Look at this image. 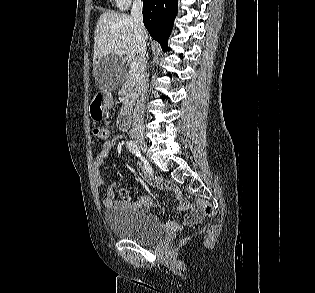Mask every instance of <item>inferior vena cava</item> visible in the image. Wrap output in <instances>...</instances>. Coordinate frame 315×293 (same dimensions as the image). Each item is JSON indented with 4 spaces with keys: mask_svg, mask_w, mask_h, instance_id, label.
<instances>
[{
    "mask_svg": "<svg viewBox=\"0 0 315 293\" xmlns=\"http://www.w3.org/2000/svg\"><path fill=\"white\" fill-rule=\"evenodd\" d=\"M142 0H135L131 9V16L134 21V31L139 53L138 71L136 74V105L133 113V123L131 134H140L143 129V108L146 98L147 88L145 84L146 71V30L142 19Z\"/></svg>",
    "mask_w": 315,
    "mask_h": 293,
    "instance_id": "obj_1",
    "label": "inferior vena cava"
}]
</instances>
